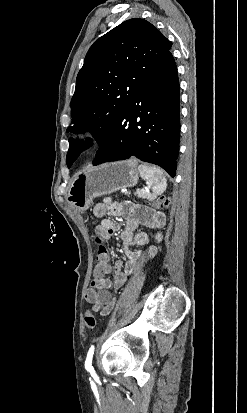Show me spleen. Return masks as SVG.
<instances>
[{"label":"spleen","instance_id":"3e777b00","mask_svg":"<svg viewBox=\"0 0 247 413\" xmlns=\"http://www.w3.org/2000/svg\"><path fill=\"white\" fill-rule=\"evenodd\" d=\"M138 168L140 170L142 178H145L147 182H150V184H152L153 194H155V196L156 194H162L167 186L166 178L163 174L162 168H157V166L147 168L145 164H139ZM148 172H151L150 176Z\"/></svg>","mask_w":247,"mask_h":413}]
</instances>
